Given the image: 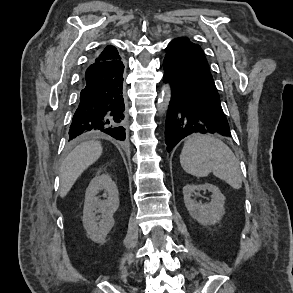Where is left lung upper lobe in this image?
I'll use <instances>...</instances> for the list:
<instances>
[{
	"label": "left lung upper lobe",
	"mask_w": 293,
	"mask_h": 293,
	"mask_svg": "<svg viewBox=\"0 0 293 293\" xmlns=\"http://www.w3.org/2000/svg\"><path fill=\"white\" fill-rule=\"evenodd\" d=\"M182 43L190 64L205 78V80L215 86L213 77L211 75L208 62L204 56L201 47L192 43L187 37H180L175 39Z\"/></svg>",
	"instance_id": "5c2ea615"
}]
</instances>
